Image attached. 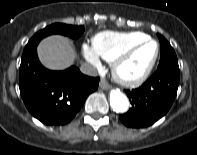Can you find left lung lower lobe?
I'll list each match as a JSON object with an SVG mask.
<instances>
[{
  "mask_svg": "<svg viewBox=\"0 0 197 155\" xmlns=\"http://www.w3.org/2000/svg\"><path fill=\"white\" fill-rule=\"evenodd\" d=\"M179 85V68L166 66L156 72L139 88L127 90L132 108L120 120L127 127H148L170 109Z\"/></svg>",
  "mask_w": 197,
  "mask_h": 155,
  "instance_id": "1",
  "label": "left lung lower lobe"
}]
</instances>
